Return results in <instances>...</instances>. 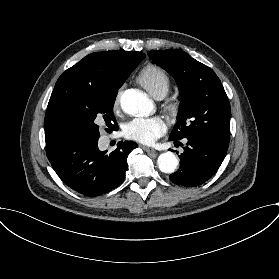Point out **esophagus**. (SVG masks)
<instances>
[{"label":"esophagus","mask_w":279,"mask_h":279,"mask_svg":"<svg viewBox=\"0 0 279 279\" xmlns=\"http://www.w3.org/2000/svg\"><path fill=\"white\" fill-rule=\"evenodd\" d=\"M140 147L152 157L156 156L155 150L152 147L146 145H140Z\"/></svg>","instance_id":"1"}]
</instances>
